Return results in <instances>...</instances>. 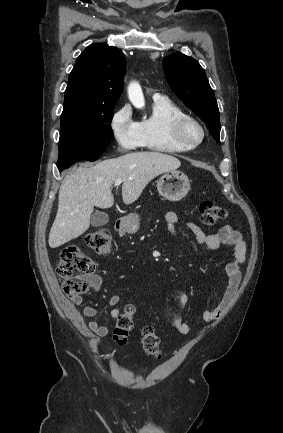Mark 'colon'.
Masks as SVG:
<instances>
[{
  "instance_id": "obj_1",
  "label": "colon",
  "mask_w": 283,
  "mask_h": 433,
  "mask_svg": "<svg viewBox=\"0 0 283 433\" xmlns=\"http://www.w3.org/2000/svg\"><path fill=\"white\" fill-rule=\"evenodd\" d=\"M199 210L202 222L208 226L215 225L226 217L225 209L211 200L203 201ZM85 244L97 254L105 255L111 248L110 234L103 229L90 231L85 235ZM94 270V261L79 246H68L61 251L57 273L63 280V291L68 297L79 296L88 290V280ZM134 313V306L127 305L118 316L113 331V339L118 345L126 344L133 329ZM141 345L148 355L160 357V339L153 327L143 328Z\"/></svg>"
}]
</instances>
